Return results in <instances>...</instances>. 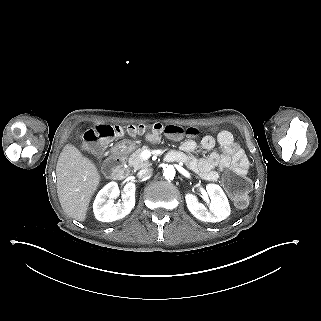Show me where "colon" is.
<instances>
[{
	"label": "colon",
	"mask_w": 321,
	"mask_h": 321,
	"mask_svg": "<svg viewBox=\"0 0 321 321\" xmlns=\"http://www.w3.org/2000/svg\"><path fill=\"white\" fill-rule=\"evenodd\" d=\"M155 134L164 132L172 137H179L184 134L194 137L198 134L195 127L183 129L177 125L163 126L159 123L153 124L150 127ZM146 127L143 125H129L122 127L119 125L99 124L96 127L89 129L83 136L84 147L94 153L100 152L104 144L115 137L125 134L138 135L144 133ZM250 180L245 172L232 171L227 173L223 178V186L228 194L233 198L235 203L240 206H246L249 201Z\"/></svg>",
	"instance_id": "5ec220e1"
}]
</instances>
